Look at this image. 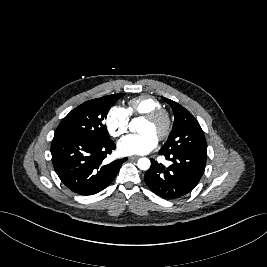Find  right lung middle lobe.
<instances>
[{"label": "right lung middle lobe", "instance_id": "right-lung-middle-lobe-1", "mask_svg": "<svg viewBox=\"0 0 267 267\" xmlns=\"http://www.w3.org/2000/svg\"><path fill=\"white\" fill-rule=\"evenodd\" d=\"M124 95L123 93L108 95L79 105L61 121L54 137L93 141L110 139L103 121L112 105Z\"/></svg>", "mask_w": 267, "mask_h": 267}]
</instances>
